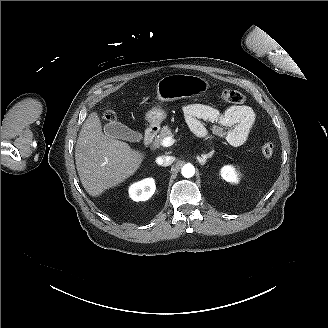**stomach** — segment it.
I'll return each instance as SVG.
<instances>
[{"label":"stomach","mask_w":328,"mask_h":328,"mask_svg":"<svg viewBox=\"0 0 328 328\" xmlns=\"http://www.w3.org/2000/svg\"><path fill=\"white\" fill-rule=\"evenodd\" d=\"M209 87L208 81L199 76L172 74L163 77L157 83V99L163 103L196 97L205 94ZM166 116L161 105H157L146 112L145 119L151 130H159L160 124Z\"/></svg>","instance_id":"stomach-1"}]
</instances>
